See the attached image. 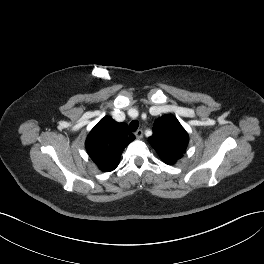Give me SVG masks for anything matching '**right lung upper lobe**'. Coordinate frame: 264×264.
Returning <instances> with one entry per match:
<instances>
[{
  "label": "right lung upper lobe",
  "instance_id": "cb5924a9",
  "mask_svg": "<svg viewBox=\"0 0 264 264\" xmlns=\"http://www.w3.org/2000/svg\"><path fill=\"white\" fill-rule=\"evenodd\" d=\"M133 140L126 124L105 116L87 136L85 147L100 170L110 172L118 166L121 153Z\"/></svg>",
  "mask_w": 264,
  "mask_h": 264
}]
</instances>
